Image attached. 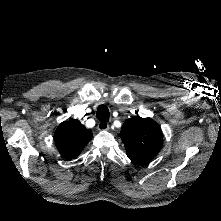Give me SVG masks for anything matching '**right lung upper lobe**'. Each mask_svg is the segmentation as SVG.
Returning <instances> with one entry per match:
<instances>
[{
	"label": "right lung upper lobe",
	"instance_id": "right-lung-upper-lobe-1",
	"mask_svg": "<svg viewBox=\"0 0 221 221\" xmlns=\"http://www.w3.org/2000/svg\"><path fill=\"white\" fill-rule=\"evenodd\" d=\"M92 137V131L76 119L62 122L54 134L56 147L66 160L77 157Z\"/></svg>",
	"mask_w": 221,
	"mask_h": 221
}]
</instances>
